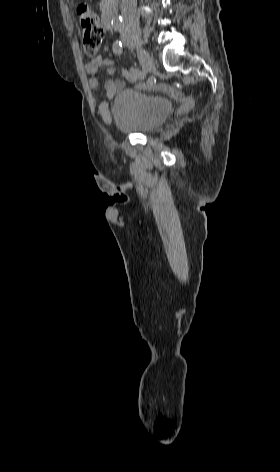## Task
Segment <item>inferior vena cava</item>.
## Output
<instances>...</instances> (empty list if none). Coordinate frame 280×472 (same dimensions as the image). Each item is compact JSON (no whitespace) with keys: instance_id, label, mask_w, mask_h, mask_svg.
<instances>
[{"instance_id":"1","label":"inferior vena cava","mask_w":280,"mask_h":472,"mask_svg":"<svg viewBox=\"0 0 280 472\" xmlns=\"http://www.w3.org/2000/svg\"><path fill=\"white\" fill-rule=\"evenodd\" d=\"M136 4L137 0H122L121 11L123 15L124 31L128 30L133 33L136 27Z\"/></svg>"}]
</instances>
